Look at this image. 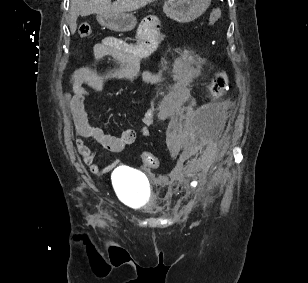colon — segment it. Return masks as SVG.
<instances>
[{"mask_svg": "<svg viewBox=\"0 0 308 283\" xmlns=\"http://www.w3.org/2000/svg\"><path fill=\"white\" fill-rule=\"evenodd\" d=\"M221 17V10L219 8H215L212 10V12L209 15V24L216 23ZM92 29L89 23L82 22L79 25V34L82 38H87L91 35ZM228 85V76L225 71L218 72L213 80L211 81L208 93L211 98H218L221 96L224 91L226 90V87ZM142 161L144 165L148 168H157L159 166V159L150 152H144L142 154Z\"/></svg>", "mask_w": 308, "mask_h": 283, "instance_id": "5ec220e1", "label": "colon"}]
</instances>
